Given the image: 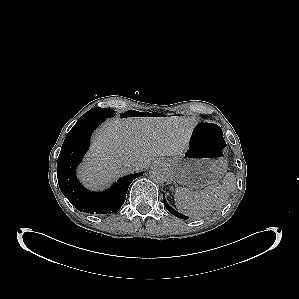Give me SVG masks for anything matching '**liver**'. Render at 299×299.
Returning <instances> with one entry per match:
<instances>
[{
	"instance_id": "6515ba94",
	"label": "liver",
	"mask_w": 299,
	"mask_h": 299,
	"mask_svg": "<svg viewBox=\"0 0 299 299\" xmlns=\"http://www.w3.org/2000/svg\"><path fill=\"white\" fill-rule=\"evenodd\" d=\"M197 123L185 116L107 121L92 137L79 178L90 189H103L122 175L146 168L156 157L181 155ZM134 162L138 169L131 167Z\"/></svg>"
}]
</instances>
